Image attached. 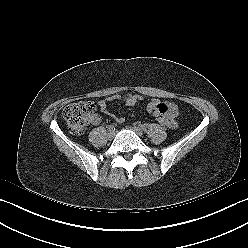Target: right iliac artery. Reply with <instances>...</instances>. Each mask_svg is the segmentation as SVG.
I'll use <instances>...</instances> for the list:
<instances>
[{"mask_svg":"<svg viewBox=\"0 0 248 248\" xmlns=\"http://www.w3.org/2000/svg\"><path fill=\"white\" fill-rule=\"evenodd\" d=\"M107 128H108V130H115L114 124H110Z\"/></svg>","mask_w":248,"mask_h":248,"instance_id":"1","label":"right iliac artery"}]
</instances>
